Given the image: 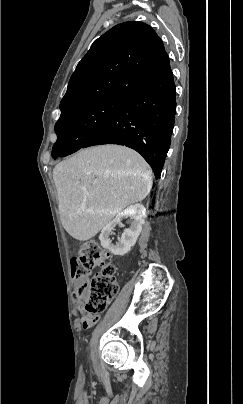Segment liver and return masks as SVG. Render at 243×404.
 Here are the masks:
<instances>
[{"mask_svg": "<svg viewBox=\"0 0 243 404\" xmlns=\"http://www.w3.org/2000/svg\"><path fill=\"white\" fill-rule=\"evenodd\" d=\"M53 180L64 230L86 242L118 212L148 196L152 170L134 150L107 144L80 150L60 162Z\"/></svg>", "mask_w": 243, "mask_h": 404, "instance_id": "1", "label": "liver"}]
</instances>
